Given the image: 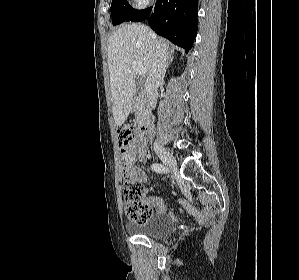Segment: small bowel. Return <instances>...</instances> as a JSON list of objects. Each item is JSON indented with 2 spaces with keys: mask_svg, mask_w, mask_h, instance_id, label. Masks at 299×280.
<instances>
[{
  "mask_svg": "<svg viewBox=\"0 0 299 280\" xmlns=\"http://www.w3.org/2000/svg\"><path fill=\"white\" fill-rule=\"evenodd\" d=\"M147 158L146 146L144 141L135 137L134 140L128 146V175L133 181L146 182L147 176L142 169L136 166L135 162H144ZM144 202L152 208H156L158 213H164L166 206L160 197H143ZM185 209L199 222H205L213 216V210L209 207H205L202 211H199L191 204L184 202Z\"/></svg>",
  "mask_w": 299,
  "mask_h": 280,
  "instance_id": "c3829d8e",
  "label": "small bowel"
}]
</instances>
